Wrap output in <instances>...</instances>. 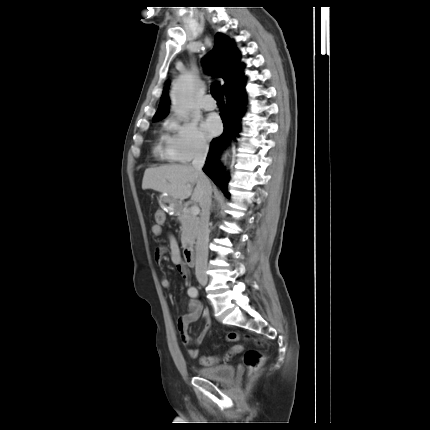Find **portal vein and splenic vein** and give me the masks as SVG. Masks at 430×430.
Segmentation results:
<instances>
[{
  "label": "portal vein and splenic vein",
  "instance_id": "1",
  "mask_svg": "<svg viewBox=\"0 0 430 430\" xmlns=\"http://www.w3.org/2000/svg\"><path fill=\"white\" fill-rule=\"evenodd\" d=\"M199 212H200V209H199V207L198 206H196V205H193L192 207H191V213L193 214V215H198L199 214Z\"/></svg>",
  "mask_w": 430,
  "mask_h": 430
}]
</instances>
